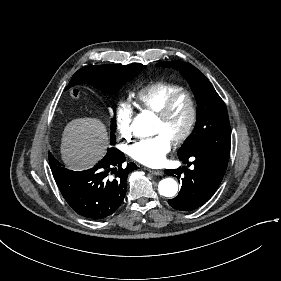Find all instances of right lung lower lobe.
Returning a JSON list of instances; mask_svg holds the SVG:
<instances>
[{"mask_svg": "<svg viewBox=\"0 0 281 281\" xmlns=\"http://www.w3.org/2000/svg\"><path fill=\"white\" fill-rule=\"evenodd\" d=\"M124 161L122 152L110 148L106 156L89 170L74 172L61 167V164L50 166L71 208L86 218L101 219L121 205L126 194L128 174L137 168L134 163L122 167Z\"/></svg>", "mask_w": 281, "mask_h": 281, "instance_id": "1", "label": "right lung lower lobe"}]
</instances>
